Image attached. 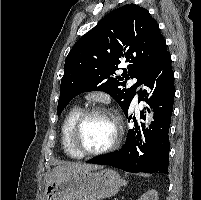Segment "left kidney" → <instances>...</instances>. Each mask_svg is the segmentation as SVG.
I'll return each instance as SVG.
<instances>
[{"label":"left kidney","instance_id":"left-kidney-1","mask_svg":"<svg viewBox=\"0 0 201 200\" xmlns=\"http://www.w3.org/2000/svg\"><path fill=\"white\" fill-rule=\"evenodd\" d=\"M138 200H158V193L155 190H149L144 193Z\"/></svg>","mask_w":201,"mask_h":200}]
</instances>
